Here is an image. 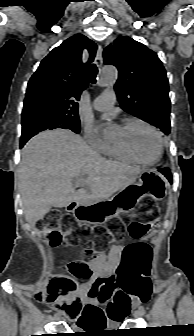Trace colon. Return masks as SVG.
<instances>
[{"mask_svg":"<svg viewBox=\"0 0 194 336\" xmlns=\"http://www.w3.org/2000/svg\"><path fill=\"white\" fill-rule=\"evenodd\" d=\"M143 214L150 220L138 219L128 224L127 230L133 239H140L149 233L156 225L159 211L154 203L145 202ZM114 225L116 226L114 231L118 232L119 224L115 223ZM39 227L52 246H58L62 241L71 245L83 246L84 260L72 261L67 264L70 274L54 276L44 290H38L34 293V299L37 302L52 304L68 319L76 321L84 310L83 302L77 293L78 279H84L90 275L88 262L105 251L108 240L100 231H98L99 235L95 240L78 236L72 229L71 218L58 212L47 214L40 222ZM149 259L150 253L145 246L128 245L122 255L117 280L111 278L103 284V287L115 299V302L110 305L111 317L114 320L121 319L130 311L132 300L135 297L145 301L147 291L137 287V275L140 272L148 271ZM91 295L96 296V291H92Z\"/></svg>","mask_w":194,"mask_h":336,"instance_id":"5ec220e1","label":"colon"}]
</instances>
